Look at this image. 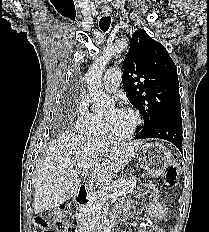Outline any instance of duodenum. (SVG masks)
<instances>
[{"label":"duodenum","instance_id":"1","mask_svg":"<svg viewBox=\"0 0 209 232\" xmlns=\"http://www.w3.org/2000/svg\"><path fill=\"white\" fill-rule=\"evenodd\" d=\"M89 199V190L86 186H81L75 193V195L72 197V203L74 206H82L85 203L88 202ZM80 232H90L87 229H82ZM98 232H102V230H98Z\"/></svg>","mask_w":209,"mask_h":232}]
</instances>
